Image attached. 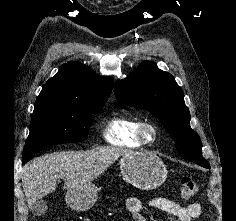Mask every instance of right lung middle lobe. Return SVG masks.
Here are the masks:
<instances>
[{
	"mask_svg": "<svg viewBox=\"0 0 236 221\" xmlns=\"http://www.w3.org/2000/svg\"><path fill=\"white\" fill-rule=\"evenodd\" d=\"M104 103H35L23 157L62 142L83 141Z\"/></svg>",
	"mask_w": 236,
	"mask_h": 221,
	"instance_id": "obj_1",
	"label": "right lung middle lobe"
}]
</instances>
